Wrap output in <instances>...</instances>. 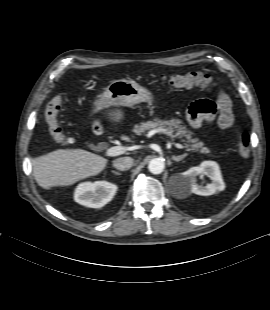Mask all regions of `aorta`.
Masks as SVG:
<instances>
[{"label": "aorta", "mask_w": 270, "mask_h": 310, "mask_svg": "<svg viewBox=\"0 0 270 310\" xmlns=\"http://www.w3.org/2000/svg\"><path fill=\"white\" fill-rule=\"evenodd\" d=\"M164 167H165L164 162L159 158L152 159L148 164V169L152 174L162 173Z\"/></svg>", "instance_id": "aorta-1"}]
</instances>
